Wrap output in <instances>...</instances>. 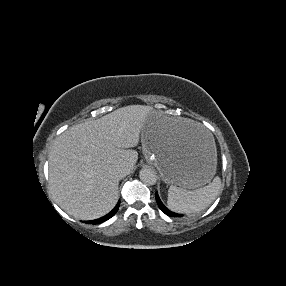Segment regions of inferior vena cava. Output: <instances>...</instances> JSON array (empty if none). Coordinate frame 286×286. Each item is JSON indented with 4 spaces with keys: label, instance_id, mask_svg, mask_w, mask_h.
<instances>
[{
    "label": "inferior vena cava",
    "instance_id": "1",
    "mask_svg": "<svg viewBox=\"0 0 286 286\" xmlns=\"http://www.w3.org/2000/svg\"><path fill=\"white\" fill-rule=\"evenodd\" d=\"M113 172L118 178H123L127 175V169L123 165H117L113 168Z\"/></svg>",
    "mask_w": 286,
    "mask_h": 286
}]
</instances>
